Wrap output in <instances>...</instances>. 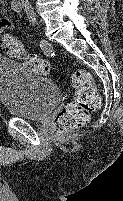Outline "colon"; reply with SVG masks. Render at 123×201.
<instances>
[{
  "label": "colon",
  "mask_w": 123,
  "mask_h": 201,
  "mask_svg": "<svg viewBox=\"0 0 123 201\" xmlns=\"http://www.w3.org/2000/svg\"><path fill=\"white\" fill-rule=\"evenodd\" d=\"M2 48L10 56L21 60L28 69L41 74L49 73V63L36 54L27 53L21 42L13 35L5 34ZM71 84L76 89L75 99L66 104L55 117L53 133L57 138L86 126L91 114L98 110L101 104L99 91L90 72L83 69L73 72Z\"/></svg>",
  "instance_id": "5ec220e1"
}]
</instances>
